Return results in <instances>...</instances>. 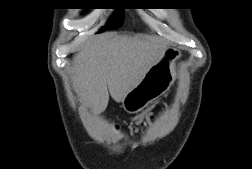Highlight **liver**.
<instances>
[{"label": "liver", "mask_w": 252, "mask_h": 169, "mask_svg": "<svg viewBox=\"0 0 252 169\" xmlns=\"http://www.w3.org/2000/svg\"><path fill=\"white\" fill-rule=\"evenodd\" d=\"M165 49L162 39L140 35L95 39L74 56L72 82L80 102L95 115L106 109L109 94L116 102H122Z\"/></svg>", "instance_id": "liver-1"}]
</instances>
